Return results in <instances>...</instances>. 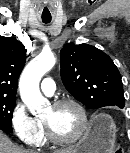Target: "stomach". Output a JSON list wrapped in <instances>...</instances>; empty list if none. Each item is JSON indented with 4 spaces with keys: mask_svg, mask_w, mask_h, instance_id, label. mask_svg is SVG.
<instances>
[{
    "mask_svg": "<svg viewBox=\"0 0 130 153\" xmlns=\"http://www.w3.org/2000/svg\"><path fill=\"white\" fill-rule=\"evenodd\" d=\"M116 138L114 121L106 115L94 120L91 128L76 145L73 153H111Z\"/></svg>",
    "mask_w": 130,
    "mask_h": 153,
    "instance_id": "obj_1",
    "label": "stomach"
}]
</instances>
